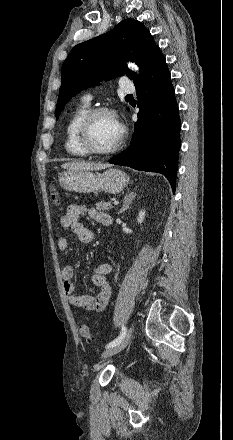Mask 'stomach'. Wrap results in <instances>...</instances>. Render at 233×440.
Masks as SVG:
<instances>
[{"instance_id":"obj_1","label":"stomach","mask_w":233,"mask_h":440,"mask_svg":"<svg viewBox=\"0 0 233 440\" xmlns=\"http://www.w3.org/2000/svg\"><path fill=\"white\" fill-rule=\"evenodd\" d=\"M129 181V176L117 168H110L103 173L78 170L65 171L59 175V184L63 189L80 193L103 191L118 194Z\"/></svg>"}]
</instances>
